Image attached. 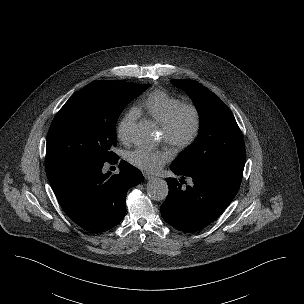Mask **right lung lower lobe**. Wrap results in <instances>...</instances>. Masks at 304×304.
I'll return each instance as SVG.
<instances>
[{
    "mask_svg": "<svg viewBox=\"0 0 304 304\" xmlns=\"http://www.w3.org/2000/svg\"><path fill=\"white\" fill-rule=\"evenodd\" d=\"M103 164L66 169L49 179L69 218L95 233L111 229L124 218L126 193L143 180L142 173L125 161L117 175L104 174Z\"/></svg>",
    "mask_w": 304,
    "mask_h": 304,
    "instance_id": "obj_1",
    "label": "right lung lower lobe"
}]
</instances>
